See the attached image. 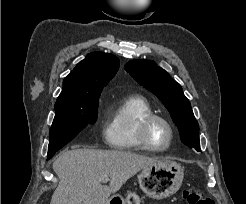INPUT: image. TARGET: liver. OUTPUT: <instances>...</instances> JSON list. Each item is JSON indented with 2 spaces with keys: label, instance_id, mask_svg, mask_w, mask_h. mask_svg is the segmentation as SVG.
I'll use <instances>...</instances> for the list:
<instances>
[{
  "label": "liver",
  "instance_id": "liver-1",
  "mask_svg": "<svg viewBox=\"0 0 246 204\" xmlns=\"http://www.w3.org/2000/svg\"><path fill=\"white\" fill-rule=\"evenodd\" d=\"M158 161L130 151L72 149L63 152L53 163L59 184L50 204H105L128 179ZM107 177L110 183L104 185Z\"/></svg>",
  "mask_w": 246,
  "mask_h": 204
}]
</instances>
